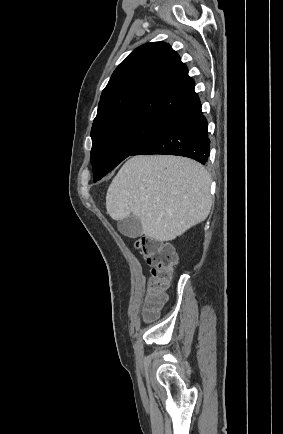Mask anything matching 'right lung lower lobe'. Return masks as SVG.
<instances>
[{"instance_id": "right-lung-lower-lobe-1", "label": "right lung lower lobe", "mask_w": 283, "mask_h": 434, "mask_svg": "<svg viewBox=\"0 0 283 434\" xmlns=\"http://www.w3.org/2000/svg\"><path fill=\"white\" fill-rule=\"evenodd\" d=\"M199 103L172 119L132 154H168L185 156L205 164L209 157L208 123Z\"/></svg>"}]
</instances>
